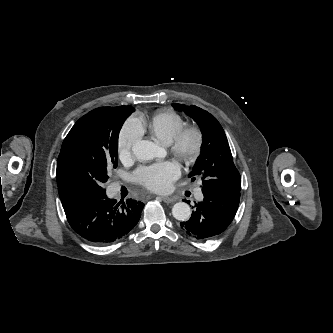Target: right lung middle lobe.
Masks as SVG:
<instances>
[{"label": "right lung middle lobe", "mask_w": 333, "mask_h": 333, "mask_svg": "<svg viewBox=\"0 0 333 333\" xmlns=\"http://www.w3.org/2000/svg\"><path fill=\"white\" fill-rule=\"evenodd\" d=\"M131 106L99 107L81 117L61 147L56 178L62 202L104 197L109 167L118 164V136Z\"/></svg>", "instance_id": "obj_1"}]
</instances>
